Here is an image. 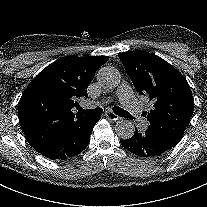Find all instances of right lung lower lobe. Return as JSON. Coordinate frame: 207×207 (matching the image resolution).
<instances>
[{
  "instance_id": "98d812e1",
  "label": "right lung lower lobe",
  "mask_w": 207,
  "mask_h": 207,
  "mask_svg": "<svg viewBox=\"0 0 207 207\" xmlns=\"http://www.w3.org/2000/svg\"><path fill=\"white\" fill-rule=\"evenodd\" d=\"M99 119L84 116L76 120L51 145L36 151L51 160H65L81 153L88 146L91 132Z\"/></svg>"
}]
</instances>
